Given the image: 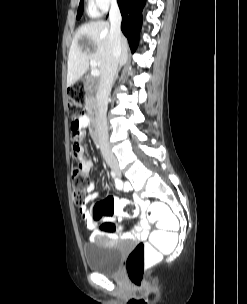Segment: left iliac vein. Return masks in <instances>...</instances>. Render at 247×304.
I'll list each match as a JSON object with an SVG mask.
<instances>
[{
	"instance_id": "4c4485c4",
	"label": "left iliac vein",
	"mask_w": 247,
	"mask_h": 304,
	"mask_svg": "<svg viewBox=\"0 0 247 304\" xmlns=\"http://www.w3.org/2000/svg\"><path fill=\"white\" fill-rule=\"evenodd\" d=\"M117 175H118V177H120V176H121V173H117Z\"/></svg>"
}]
</instances>
